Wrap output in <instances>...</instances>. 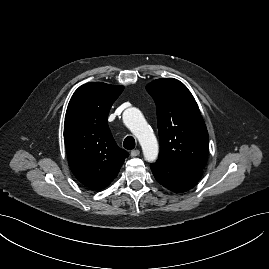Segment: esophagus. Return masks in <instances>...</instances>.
<instances>
[{"instance_id":"34e87169","label":"esophagus","mask_w":269,"mask_h":269,"mask_svg":"<svg viewBox=\"0 0 269 269\" xmlns=\"http://www.w3.org/2000/svg\"><path fill=\"white\" fill-rule=\"evenodd\" d=\"M139 154H140V151H139L138 149H136V150H132L131 153H130V155H131L132 157H136V156H138Z\"/></svg>"}]
</instances>
